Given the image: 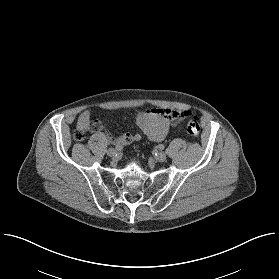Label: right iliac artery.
<instances>
[{
    "label": "right iliac artery",
    "mask_w": 279,
    "mask_h": 279,
    "mask_svg": "<svg viewBox=\"0 0 279 279\" xmlns=\"http://www.w3.org/2000/svg\"><path fill=\"white\" fill-rule=\"evenodd\" d=\"M115 149H116V152H117V151H121V150H122V147L117 145V146L115 147Z\"/></svg>",
    "instance_id": "82829eb1"
}]
</instances>
